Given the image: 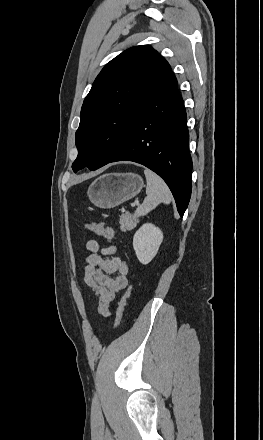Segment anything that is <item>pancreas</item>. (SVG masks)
<instances>
[{
	"instance_id": "cf45deb5",
	"label": "pancreas",
	"mask_w": 263,
	"mask_h": 440,
	"mask_svg": "<svg viewBox=\"0 0 263 440\" xmlns=\"http://www.w3.org/2000/svg\"><path fill=\"white\" fill-rule=\"evenodd\" d=\"M119 223L121 224L120 229L122 231L132 230L137 223V220L129 213L122 214L119 219Z\"/></svg>"
}]
</instances>
